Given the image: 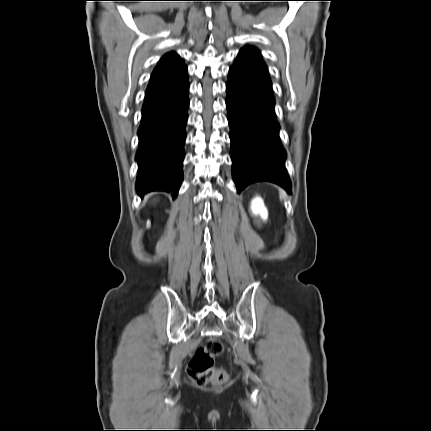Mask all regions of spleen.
<instances>
[{
    "instance_id": "obj_1",
    "label": "spleen",
    "mask_w": 431,
    "mask_h": 431,
    "mask_svg": "<svg viewBox=\"0 0 431 431\" xmlns=\"http://www.w3.org/2000/svg\"><path fill=\"white\" fill-rule=\"evenodd\" d=\"M286 193L283 190H280V199H285Z\"/></svg>"
}]
</instances>
